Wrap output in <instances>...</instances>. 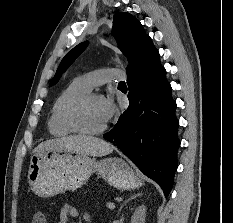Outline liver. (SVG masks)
I'll use <instances>...</instances> for the list:
<instances>
[{
  "label": "liver",
  "mask_w": 233,
  "mask_h": 223,
  "mask_svg": "<svg viewBox=\"0 0 233 223\" xmlns=\"http://www.w3.org/2000/svg\"><path fill=\"white\" fill-rule=\"evenodd\" d=\"M42 147H62L67 151H76L82 155H92V157H103L112 153L115 149L112 143L93 137V135H68V137H55V139H46L35 147V151H40Z\"/></svg>",
  "instance_id": "1"
}]
</instances>
